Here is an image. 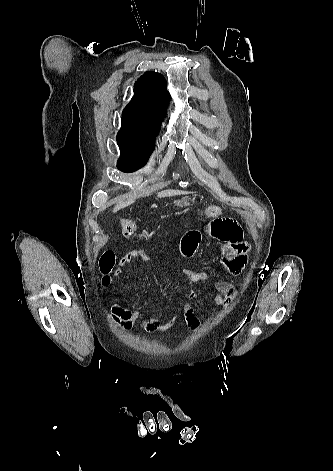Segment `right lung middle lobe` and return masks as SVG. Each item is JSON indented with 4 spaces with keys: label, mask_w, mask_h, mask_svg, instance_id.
<instances>
[{
    "label": "right lung middle lobe",
    "mask_w": 333,
    "mask_h": 471,
    "mask_svg": "<svg viewBox=\"0 0 333 471\" xmlns=\"http://www.w3.org/2000/svg\"><path fill=\"white\" fill-rule=\"evenodd\" d=\"M159 131L121 128L117 143L121 151L117 168L125 173L134 172L148 161Z\"/></svg>",
    "instance_id": "right-lung-middle-lobe-1"
}]
</instances>
